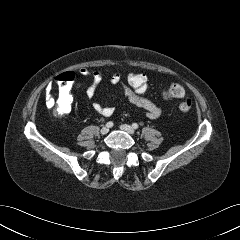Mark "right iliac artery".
I'll return each instance as SVG.
<instances>
[{
    "label": "right iliac artery",
    "instance_id": "right-iliac-artery-1",
    "mask_svg": "<svg viewBox=\"0 0 240 240\" xmlns=\"http://www.w3.org/2000/svg\"><path fill=\"white\" fill-rule=\"evenodd\" d=\"M106 126L109 127V128L112 127L113 126V122L112 121L107 122Z\"/></svg>",
    "mask_w": 240,
    "mask_h": 240
}]
</instances>
